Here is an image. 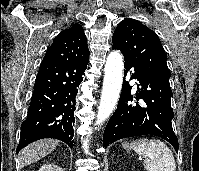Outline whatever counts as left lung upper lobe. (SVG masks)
Returning <instances> with one entry per match:
<instances>
[{"instance_id": "5c2ea615", "label": "left lung upper lobe", "mask_w": 199, "mask_h": 171, "mask_svg": "<svg viewBox=\"0 0 199 171\" xmlns=\"http://www.w3.org/2000/svg\"><path fill=\"white\" fill-rule=\"evenodd\" d=\"M112 41V48L120 50L125 59L170 85L167 56L154 31L138 20L125 18L115 29Z\"/></svg>"}]
</instances>
